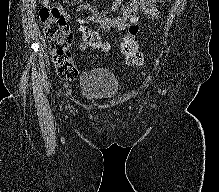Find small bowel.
Instances as JSON below:
<instances>
[{"label":"small bowel","mask_w":219,"mask_h":192,"mask_svg":"<svg viewBox=\"0 0 219 192\" xmlns=\"http://www.w3.org/2000/svg\"><path fill=\"white\" fill-rule=\"evenodd\" d=\"M164 0H130L125 3L124 0H112L110 8L106 14L93 15L88 17H80L79 12L86 9L85 6H78L75 13L71 17L79 24V31L82 41L79 51L86 49L94 50V41H101L100 34L97 30L90 29V25L95 24L103 31L117 30L127 31L128 34L135 35L138 40L143 36L141 32L144 25L141 23L140 15L144 14L148 18H156L159 14L157 4ZM59 7H63L58 3ZM120 10L119 15L113 13ZM66 15L70 16L67 12ZM95 51V50H94Z\"/></svg>","instance_id":"c3829d8e"}]
</instances>
